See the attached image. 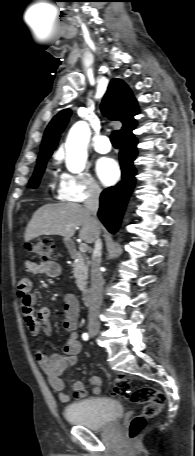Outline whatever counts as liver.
<instances>
[{"mask_svg":"<svg viewBox=\"0 0 195 456\" xmlns=\"http://www.w3.org/2000/svg\"><path fill=\"white\" fill-rule=\"evenodd\" d=\"M87 209L77 203L47 204L40 207L32 216L25 230V241L41 235H60L69 240L81 226L79 238L93 243L100 234V224L91 221Z\"/></svg>","mask_w":195,"mask_h":456,"instance_id":"6515ba94","label":"liver"}]
</instances>
